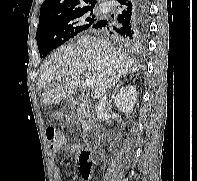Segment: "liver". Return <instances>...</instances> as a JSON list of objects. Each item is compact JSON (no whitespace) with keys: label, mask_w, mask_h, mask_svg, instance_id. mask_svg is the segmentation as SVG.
<instances>
[{"label":"liver","mask_w":197,"mask_h":181,"mask_svg":"<svg viewBox=\"0 0 197 181\" xmlns=\"http://www.w3.org/2000/svg\"><path fill=\"white\" fill-rule=\"evenodd\" d=\"M138 69V64L108 41L96 36H81L76 45L58 48L41 66L38 87L65 79L63 84L48 89L43 95L44 105L58 104L70 97L80 85L81 75L95 78L92 96L101 98L103 90L114 86L119 78Z\"/></svg>","instance_id":"obj_1"}]
</instances>
